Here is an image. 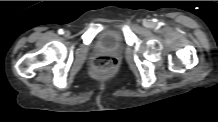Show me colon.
<instances>
[{"label":"colon","mask_w":218,"mask_h":122,"mask_svg":"<svg viewBox=\"0 0 218 122\" xmlns=\"http://www.w3.org/2000/svg\"><path fill=\"white\" fill-rule=\"evenodd\" d=\"M117 59L112 56H98L91 65V73L95 77L108 76L115 72L117 68Z\"/></svg>","instance_id":"1"}]
</instances>
